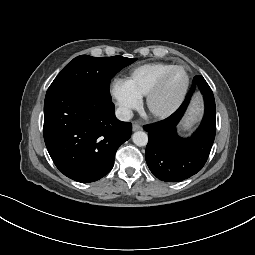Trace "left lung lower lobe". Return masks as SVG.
<instances>
[{
    "label": "left lung lower lobe",
    "mask_w": 255,
    "mask_h": 255,
    "mask_svg": "<svg viewBox=\"0 0 255 255\" xmlns=\"http://www.w3.org/2000/svg\"><path fill=\"white\" fill-rule=\"evenodd\" d=\"M201 91L205 113L201 125L189 138L177 135L182 118L195 89ZM213 92L202 76H195L191 89L179 109L167 119L145 125L149 141L145 158L151 172L160 180L179 182L199 172L207 161L216 133Z\"/></svg>",
    "instance_id": "left-lung-lower-lobe-1"
}]
</instances>
